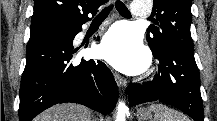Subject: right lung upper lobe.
Masks as SVG:
<instances>
[{
    "instance_id": "1",
    "label": "right lung upper lobe",
    "mask_w": 217,
    "mask_h": 121,
    "mask_svg": "<svg viewBox=\"0 0 217 121\" xmlns=\"http://www.w3.org/2000/svg\"><path fill=\"white\" fill-rule=\"evenodd\" d=\"M108 0H35L31 23L43 20H58L79 24L95 15L100 5Z\"/></svg>"
}]
</instances>
